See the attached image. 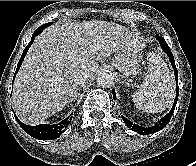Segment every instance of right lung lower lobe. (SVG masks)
Returning a JSON list of instances; mask_svg holds the SVG:
<instances>
[{"label": "right lung lower lobe", "instance_id": "obj_1", "mask_svg": "<svg viewBox=\"0 0 196 166\" xmlns=\"http://www.w3.org/2000/svg\"><path fill=\"white\" fill-rule=\"evenodd\" d=\"M42 31H35L32 35V39L30 41V43L26 46V48L24 49V52L18 62L17 65V69L15 72H18L24 57L29 49V47L31 46V44L34 41V38L39 35ZM14 75V78H15ZM13 84V83H12ZM15 115V114H14ZM17 122L19 123V125L22 127V129L24 131H26L30 136L37 138V139H41V140H53V139H57L62 133L63 131L69 126L72 117L68 116L66 119H64L62 122L58 123V124H53V125H49V124H40L37 126H29V125H25L23 124L21 121H19V119L17 117H15Z\"/></svg>", "mask_w": 196, "mask_h": 166}]
</instances>
